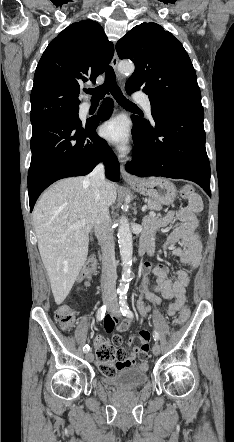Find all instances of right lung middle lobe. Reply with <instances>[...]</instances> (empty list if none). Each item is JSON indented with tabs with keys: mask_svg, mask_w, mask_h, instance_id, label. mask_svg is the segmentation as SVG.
<instances>
[{
	"mask_svg": "<svg viewBox=\"0 0 234 442\" xmlns=\"http://www.w3.org/2000/svg\"><path fill=\"white\" fill-rule=\"evenodd\" d=\"M53 110L67 111V112H70L71 114H73L74 116H76L77 118H79V116H78V110H79L78 106L55 108Z\"/></svg>",
	"mask_w": 234,
	"mask_h": 442,
	"instance_id": "obj_1",
	"label": "right lung middle lobe"
}]
</instances>
